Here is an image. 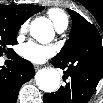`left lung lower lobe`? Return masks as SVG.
I'll return each instance as SVG.
<instances>
[{
	"label": "left lung lower lobe",
	"mask_w": 103,
	"mask_h": 103,
	"mask_svg": "<svg viewBox=\"0 0 103 103\" xmlns=\"http://www.w3.org/2000/svg\"><path fill=\"white\" fill-rule=\"evenodd\" d=\"M87 47L89 57L73 53L66 59L52 58L51 63L58 68L66 69L64 80L69 79L55 93H45L44 103H87L92 97L103 74L102 39H89Z\"/></svg>",
	"instance_id": "1"
}]
</instances>
